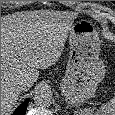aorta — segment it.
I'll use <instances>...</instances> for the list:
<instances>
[{
  "mask_svg": "<svg viewBox=\"0 0 115 115\" xmlns=\"http://www.w3.org/2000/svg\"><path fill=\"white\" fill-rule=\"evenodd\" d=\"M51 101L52 97L46 89H40L34 96V102L40 106H49Z\"/></svg>",
  "mask_w": 115,
  "mask_h": 115,
  "instance_id": "aorta-1",
  "label": "aorta"
}]
</instances>
